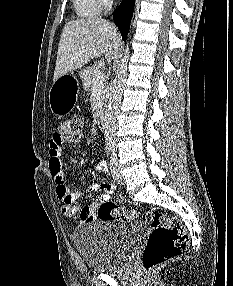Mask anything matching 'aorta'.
Listing matches in <instances>:
<instances>
[{
  "label": "aorta",
  "mask_w": 233,
  "mask_h": 286,
  "mask_svg": "<svg viewBox=\"0 0 233 286\" xmlns=\"http://www.w3.org/2000/svg\"><path fill=\"white\" fill-rule=\"evenodd\" d=\"M129 60V45L127 42L123 57L117 67L116 77L113 82L111 94L105 111L103 129L108 142H114L116 136V115L121 103L123 86L127 77V63Z\"/></svg>",
  "instance_id": "obj_1"
}]
</instances>
